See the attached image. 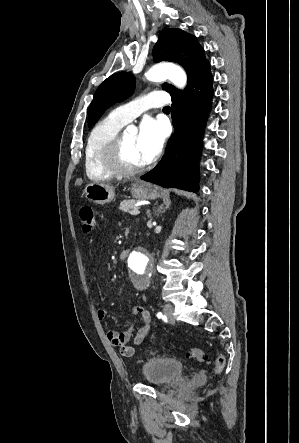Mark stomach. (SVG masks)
I'll list each match as a JSON object with an SVG mask.
<instances>
[{
    "instance_id": "obj_1",
    "label": "stomach",
    "mask_w": 299,
    "mask_h": 443,
    "mask_svg": "<svg viewBox=\"0 0 299 443\" xmlns=\"http://www.w3.org/2000/svg\"><path fill=\"white\" fill-rule=\"evenodd\" d=\"M131 193L137 199H155L159 196L158 190L144 182H136L131 187ZM85 197L94 203L104 205L115 198L114 188L106 184L89 183L84 189Z\"/></svg>"
}]
</instances>
